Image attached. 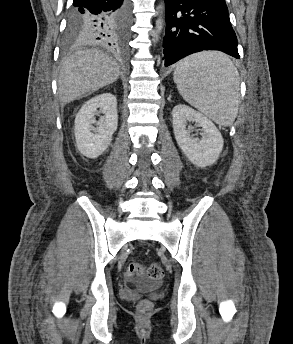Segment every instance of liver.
<instances>
[{"label":"liver","mask_w":293,"mask_h":344,"mask_svg":"<svg viewBox=\"0 0 293 344\" xmlns=\"http://www.w3.org/2000/svg\"><path fill=\"white\" fill-rule=\"evenodd\" d=\"M119 75L117 62L105 53L96 49L75 52L62 64L58 78L59 98L64 104L70 103L114 83Z\"/></svg>","instance_id":"liver-1"}]
</instances>
